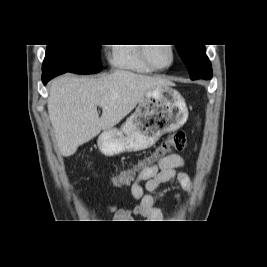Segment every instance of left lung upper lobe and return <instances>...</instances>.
<instances>
[{"mask_svg": "<svg viewBox=\"0 0 267 267\" xmlns=\"http://www.w3.org/2000/svg\"><path fill=\"white\" fill-rule=\"evenodd\" d=\"M177 51L187 65L192 80L212 76L211 63L204 45H176Z\"/></svg>", "mask_w": 267, "mask_h": 267, "instance_id": "obj_1", "label": "left lung upper lobe"}]
</instances>
